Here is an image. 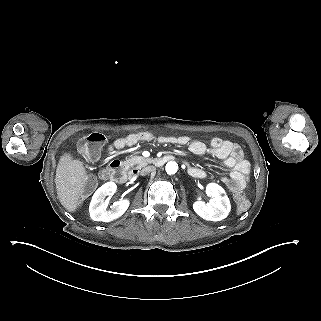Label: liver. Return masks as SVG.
<instances>
[{
	"label": "liver",
	"mask_w": 321,
	"mask_h": 321,
	"mask_svg": "<svg viewBox=\"0 0 321 321\" xmlns=\"http://www.w3.org/2000/svg\"><path fill=\"white\" fill-rule=\"evenodd\" d=\"M89 178L90 174L81 160L74 159L71 153H64L60 157L55 184L59 201L69 213L77 211Z\"/></svg>",
	"instance_id": "obj_1"
}]
</instances>
